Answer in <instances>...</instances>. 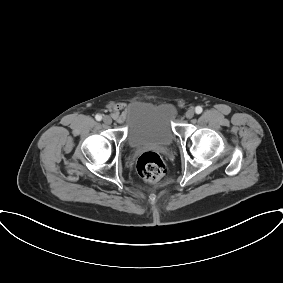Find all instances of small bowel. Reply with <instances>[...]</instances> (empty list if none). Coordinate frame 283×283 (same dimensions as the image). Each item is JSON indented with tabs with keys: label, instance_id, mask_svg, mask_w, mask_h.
Listing matches in <instances>:
<instances>
[{
	"label": "small bowel",
	"instance_id": "c3829d8e",
	"mask_svg": "<svg viewBox=\"0 0 283 283\" xmlns=\"http://www.w3.org/2000/svg\"><path fill=\"white\" fill-rule=\"evenodd\" d=\"M126 114L127 109L121 104L114 106L112 109V116L118 122H123L125 120Z\"/></svg>",
	"mask_w": 283,
	"mask_h": 283
}]
</instances>
